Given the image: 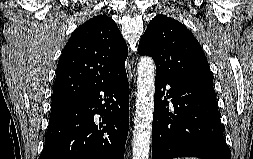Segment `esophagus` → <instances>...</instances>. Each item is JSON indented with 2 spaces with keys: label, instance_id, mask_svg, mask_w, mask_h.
I'll return each instance as SVG.
<instances>
[{
  "label": "esophagus",
  "instance_id": "obj_1",
  "mask_svg": "<svg viewBox=\"0 0 253 159\" xmlns=\"http://www.w3.org/2000/svg\"><path fill=\"white\" fill-rule=\"evenodd\" d=\"M132 64H133V61H132ZM131 96H133V92H132Z\"/></svg>",
  "mask_w": 253,
  "mask_h": 159
}]
</instances>
